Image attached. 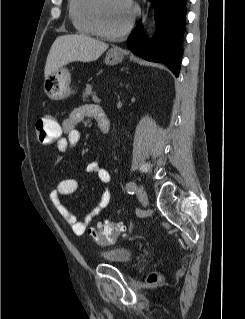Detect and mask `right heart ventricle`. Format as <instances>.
<instances>
[{"instance_id": "1", "label": "right heart ventricle", "mask_w": 245, "mask_h": 319, "mask_svg": "<svg viewBox=\"0 0 245 319\" xmlns=\"http://www.w3.org/2000/svg\"><path fill=\"white\" fill-rule=\"evenodd\" d=\"M94 0H69V17L77 32L98 35L93 21Z\"/></svg>"}]
</instances>
